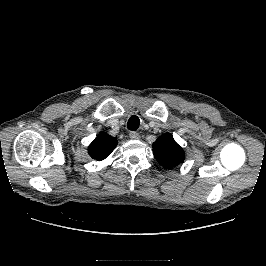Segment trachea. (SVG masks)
Returning a JSON list of instances; mask_svg holds the SVG:
<instances>
[{"label": "trachea", "mask_w": 266, "mask_h": 266, "mask_svg": "<svg viewBox=\"0 0 266 266\" xmlns=\"http://www.w3.org/2000/svg\"><path fill=\"white\" fill-rule=\"evenodd\" d=\"M140 124V120L137 116H132L129 118L128 123H127V128L129 130L135 131L138 129Z\"/></svg>", "instance_id": "trachea-1"}]
</instances>
